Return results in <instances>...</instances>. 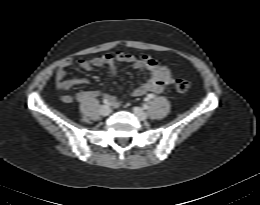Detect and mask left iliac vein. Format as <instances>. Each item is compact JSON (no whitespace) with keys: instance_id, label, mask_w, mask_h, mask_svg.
Instances as JSON below:
<instances>
[{"instance_id":"left-iliac-vein-1","label":"left iliac vein","mask_w":260,"mask_h":205,"mask_svg":"<svg viewBox=\"0 0 260 205\" xmlns=\"http://www.w3.org/2000/svg\"><path fill=\"white\" fill-rule=\"evenodd\" d=\"M133 112L137 116L139 120H146L147 114L144 112V110L140 107H133Z\"/></svg>"}]
</instances>
